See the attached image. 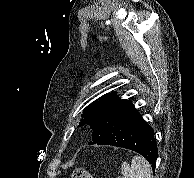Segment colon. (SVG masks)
Here are the masks:
<instances>
[{"mask_svg":"<svg viewBox=\"0 0 194 178\" xmlns=\"http://www.w3.org/2000/svg\"><path fill=\"white\" fill-rule=\"evenodd\" d=\"M71 178H95L91 173H89L85 168L76 167L71 170Z\"/></svg>","mask_w":194,"mask_h":178,"instance_id":"5ec220e1","label":"colon"}]
</instances>
